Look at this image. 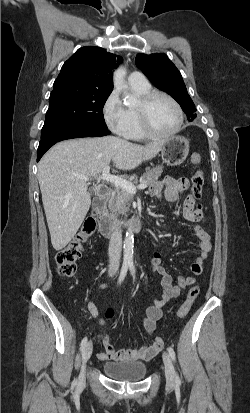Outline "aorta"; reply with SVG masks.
Returning a JSON list of instances; mask_svg holds the SVG:
<instances>
[{"mask_svg": "<svg viewBox=\"0 0 250 413\" xmlns=\"http://www.w3.org/2000/svg\"><path fill=\"white\" fill-rule=\"evenodd\" d=\"M126 70L123 66L117 68L114 72L113 83L118 91H123L125 95V103L131 106L135 103V99L127 93V85L125 84ZM133 249H134V234L131 227L128 228L124 240V257L123 262L126 265H133Z\"/></svg>", "mask_w": 250, "mask_h": 413, "instance_id": "1", "label": "aorta"}]
</instances>
